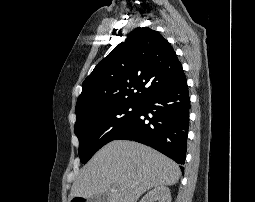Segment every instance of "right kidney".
<instances>
[{
	"label": "right kidney",
	"instance_id": "right-kidney-1",
	"mask_svg": "<svg viewBox=\"0 0 255 202\" xmlns=\"http://www.w3.org/2000/svg\"><path fill=\"white\" fill-rule=\"evenodd\" d=\"M140 202H171L170 190L165 186L155 187Z\"/></svg>",
	"mask_w": 255,
	"mask_h": 202
}]
</instances>
